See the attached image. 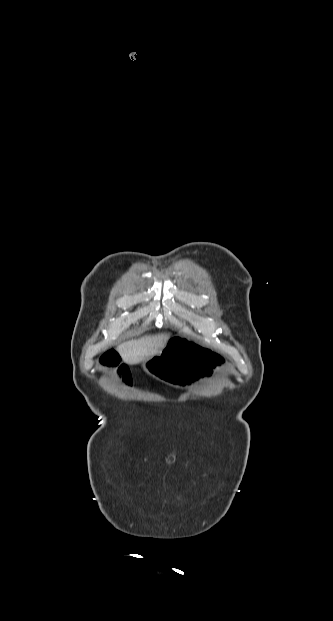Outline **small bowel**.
<instances>
[{
    "label": "small bowel",
    "mask_w": 333,
    "mask_h": 621,
    "mask_svg": "<svg viewBox=\"0 0 333 621\" xmlns=\"http://www.w3.org/2000/svg\"><path fill=\"white\" fill-rule=\"evenodd\" d=\"M100 363L108 368H114L116 373L125 381L130 382V373L128 367L122 362L119 353L110 349L102 354Z\"/></svg>",
    "instance_id": "1"
}]
</instances>
